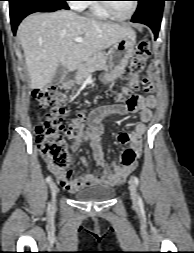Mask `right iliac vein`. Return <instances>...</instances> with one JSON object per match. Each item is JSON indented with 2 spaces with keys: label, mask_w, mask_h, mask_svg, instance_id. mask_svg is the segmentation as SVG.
<instances>
[{
  "label": "right iliac vein",
  "mask_w": 194,
  "mask_h": 253,
  "mask_svg": "<svg viewBox=\"0 0 194 253\" xmlns=\"http://www.w3.org/2000/svg\"><path fill=\"white\" fill-rule=\"evenodd\" d=\"M50 190H51V194H52V206L55 205L56 203V196H57V192H58V188L55 182H50Z\"/></svg>",
  "instance_id": "obj_1"
}]
</instances>
